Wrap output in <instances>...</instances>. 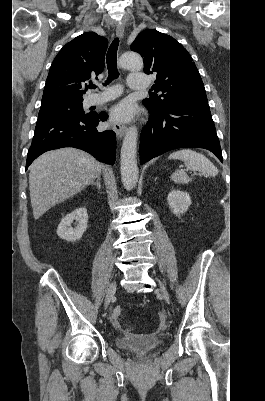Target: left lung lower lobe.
Listing matches in <instances>:
<instances>
[{"label":"left lung lower lobe","instance_id":"obj_1","mask_svg":"<svg viewBox=\"0 0 265 401\" xmlns=\"http://www.w3.org/2000/svg\"><path fill=\"white\" fill-rule=\"evenodd\" d=\"M148 110L150 121L140 136L141 164L167 151L183 147L208 149L223 162L208 104L185 103L163 111Z\"/></svg>","mask_w":265,"mask_h":401}]
</instances>
